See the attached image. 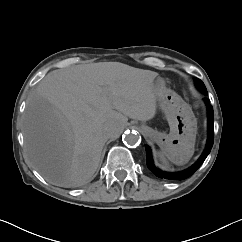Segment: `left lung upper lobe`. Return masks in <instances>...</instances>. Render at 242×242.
Wrapping results in <instances>:
<instances>
[{"label":"left lung upper lobe","instance_id":"obj_1","mask_svg":"<svg viewBox=\"0 0 242 242\" xmlns=\"http://www.w3.org/2000/svg\"><path fill=\"white\" fill-rule=\"evenodd\" d=\"M196 85L200 91H202L205 95H207V90L204 83L200 79H195Z\"/></svg>","mask_w":242,"mask_h":242}]
</instances>
